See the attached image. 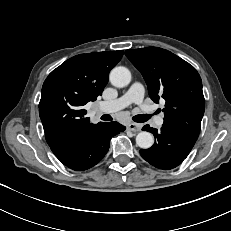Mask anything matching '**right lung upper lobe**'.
I'll return each instance as SVG.
<instances>
[{
  "label": "right lung upper lobe",
  "instance_id": "1",
  "mask_svg": "<svg viewBox=\"0 0 231 231\" xmlns=\"http://www.w3.org/2000/svg\"><path fill=\"white\" fill-rule=\"evenodd\" d=\"M122 56V50L80 54L65 61L44 81L39 115L46 141L57 158L75 139L102 123H90L83 106L102 94L110 70Z\"/></svg>",
  "mask_w": 231,
  "mask_h": 231
}]
</instances>
